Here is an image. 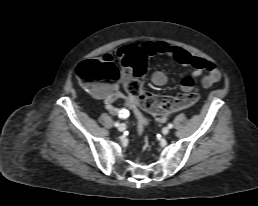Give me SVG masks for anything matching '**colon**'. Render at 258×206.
<instances>
[{
    "mask_svg": "<svg viewBox=\"0 0 258 206\" xmlns=\"http://www.w3.org/2000/svg\"><path fill=\"white\" fill-rule=\"evenodd\" d=\"M145 72L146 56L143 54L125 59L122 72L108 57L83 61L76 68L79 82L94 91L102 84H113L123 79L140 133L146 129L147 121L138 108L156 115H166L193 106L199 98L195 92H186L175 97L155 96L144 89Z\"/></svg>",
    "mask_w": 258,
    "mask_h": 206,
    "instance_id": "1",
    "label": "colon"
}]
</instances>
